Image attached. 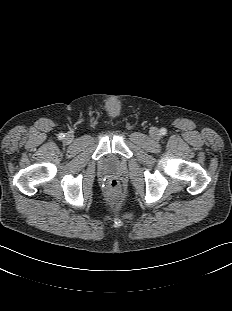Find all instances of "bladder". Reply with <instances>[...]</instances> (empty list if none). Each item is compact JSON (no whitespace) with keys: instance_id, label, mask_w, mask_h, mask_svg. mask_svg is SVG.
Wrapping results in <instances>:
<instances>
[{"instance_id":"bladder-1","label":"bladder","mask_w":232,"mask_h":311,"mask_svg":"<svg viewBox=\"0 0 232 311\" xmlns=\"http://www.w3.org/2000/svg\"><path fill=\"white\" fill-rule=\"evenodd\" d=\"M107 166L110 170H116L118 168V165L113 160L108 161Z\"/></svg>"}]
</instances>
